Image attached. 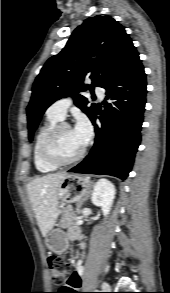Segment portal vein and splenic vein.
<instances>
[{
  "mask_svg": "<svg viewBox=\"0 0 170 293\" xmlns=\"http://www.w3.org/2000/svg\"><path fill=\"white\" fill-rule=\"evenodd\" d=\"M81 223H82V221H80V220L77 221V224H81Z\"/></svg>",
  "mask_w": 170,
  "mask_h": 293,
  "instance_id": "portal-vein-and-splenic-vein-1",
  "label": "portal vein and splenic vein"
}]
</instances>
